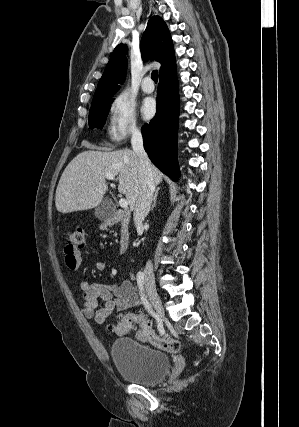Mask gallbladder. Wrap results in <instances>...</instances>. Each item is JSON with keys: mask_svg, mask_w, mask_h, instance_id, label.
Here are the masks:
<instances>
[{"mask_svg": "<svg viewBox=\"0 0 299 427\" xmlns=\"http://www.w3.org/2000/svg\"><path fill=\"white\" fill-rule=\"evenodd\" d=\"M114 213H115V206L108 199L102 201L97 206L94 212L95 216L101 221L112 219L114 216Z\"/></svg>", "mask_w": 299, "mask_h": 427, "instance_id": "1", "label": "gallbladder"}]
</instances>
